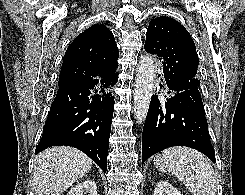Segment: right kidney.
<instances>
[{"label": "right kidney", "instance_id": "1", "mask_svg": "<svg viewBox=\"0 0 245 195\" xmlns=\"http://www.w3.org/2000/svg\"><path fill=\"white\" fill-rule=\"evenodd\" d=\"M97 195V186L93 180H85L84 182L72 187L67 195Z\"/></svg>", "mask_w": 245, "mask_h": 195}]
</instances>
